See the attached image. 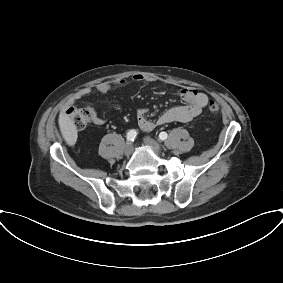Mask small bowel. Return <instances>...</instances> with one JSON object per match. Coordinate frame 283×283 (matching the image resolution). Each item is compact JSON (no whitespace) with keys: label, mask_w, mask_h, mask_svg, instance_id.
Returning <instances> with one entry per match:
<instances>
[{"label":"small bowel","mask_w":283,"mask_h":283,"mask_svg":"<svg viewBox=\"0 0 283 283\" xmlns=\"http://www.w3.org/2000/svg\"><path fill=\"white\" fill-rule=\"evenodd\" d=\"M132 81L135 83H151L155 81V78L148 75L136 74L132 77ZM118 85H125L126 82L121 80L117 82ZM112 85L109 82H102L97 85L96 90L100 94H107L111 91ZM90 88L82 89L77 98H83L91 94ZM180 97L186 102L185 105L175 106L164 111L156 120H150L147 118L148 110L146 108H139L136 113L137 122L141 130L149 132L156 126L164 125L172 122H189L197 117L202 109L208 103V96L195 89H183L180 91ZM92 114V121L96 125L105 124L106 120L99 116L98 113L92 108H89Z\"/></svg>","instance_id":"c3829d8e"}]
</instances>
